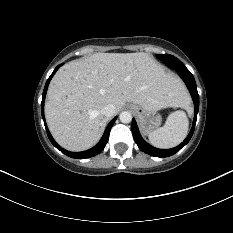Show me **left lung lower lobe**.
I'll return each mask as SVG.
<instances>
[{
	"label": "left lung lower lobe",
	"mask_w": 233,
	"mask_h": 233,
	"mask_svg": "<svg viewBox=\"0 0 233 233\" xmlns=\"http://www.w3.org/2000/svg\"><path fill=\"white\" fill-rule=\"evenodd\" d=\"M173 69L177 70V73L179 74V76L184 80L185 84L187 85L188 90L191 93L193 102H194V120H193V124H192V128L190 130V133L188 134V136L186 137V139L177 147H174L172 149H157L154 148L153 146L149 145L148 143H146L143 138L141 137L136 121L135 119L132 120V134H133V138L136 142V144L138 145V147L145 153L151 155V156H155V157H168L171 156L173 154H175L177 151H179L181 148H183L191 139L194 129H195V124H196V119H197V114H198V110H199V95H198V91H197V86L195 83V79L193 77V75L191 74V72L184 66H180V65H176L174 66Z\"/></svg>",
	"instance_id": "left-lung-lower-lobe-1"
}]
</instances>
